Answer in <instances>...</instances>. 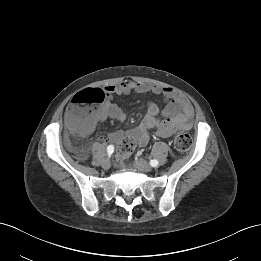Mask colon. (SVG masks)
Segmentation results:
<instances>
[{"label": "colon", "mask_w": 261, "mask_h": 261, "mask_svg": "<svg viewBox=\"0 0 261 261\" xmlns=\"http://www.w3.org/2000/svg\"><path fill=\"white\" fill-rule=\"evenodd\" d=\"M105 92L101 89H91L79 93L68 106V122L74 132L81 134L89 130L93 122V113L97 106L105 99ZM192 145L189 134L179 131L174 138V146L178 151H187ZM135 148L131 138H124L117 155L119 158L128 156Z\"/></svg>", "instance_id": "colon-1"}]
</instances>
